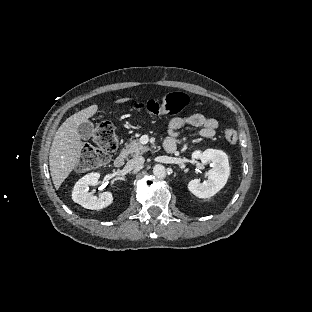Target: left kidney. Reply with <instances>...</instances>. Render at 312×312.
<instances>
[{
  "mask_svg": "<svg viewBox=\"0 0 312 312\" xmlns=\"http://www.w3.org/2000/svg\"><path fill=\"white\" fill-rule=\"evenodd\" d=\"M198 156V152L194 154ZM202 164L210 163L213 169L207 173L208 181L200 183L197 179L189 180L187 189L198 198H210L218 193L229 178V164L226 154L221 150H206L200 157Z\"/></svg>",
  "mask_w": 312,
  "mask_h": 312,
  "instance_id": "left-kidney-1",
  "label": "left kidney"
}]
</instances>
